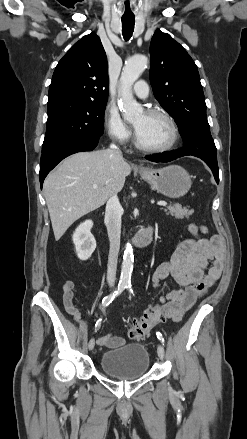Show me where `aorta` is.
<instances>
[{
    "mask_svg": "<svg viewBox=\"0 0 247 439\" xmlns=\"http://www.w3.org/2000/svg\"><path fill=\"white\" fill-rule=\"evenodd\" d=\"M148 59L144 55H136L129 58L123 67L120 78V109L123 113V118L127 121H132L141 116L143 109L134 99L132 94V86L134 82L140 77L146 69ZM134 254L131 244L127 243L123 255V262L121 266L120 283L127 284L130 282L133 271Z\"/></svg>",
    "mask_w": 247,
    "mask_h": 439,
    "instance_id": "obj_1",
    "label": "aorta"
}]
</instances>
